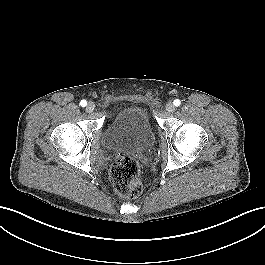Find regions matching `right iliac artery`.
I'll return each instance as SVG.
<instances>
[{
  "instance_id": "1",
  "label": "right iliac artery",
  "mask_w": 265,
  "mask_h": 265,
  "mask_svg": "<svg viewBox=\"0 0 265 265\" xmlns=\"http://www.w3.org/2000/svg\"><path fill=\"white\" fill-rule=\"evenodd\" d=\"M80 105L82 107H85L87 105V101L86 100H81Z\"/></svg>"
}]
</instances>
